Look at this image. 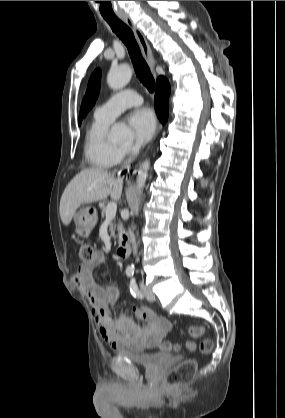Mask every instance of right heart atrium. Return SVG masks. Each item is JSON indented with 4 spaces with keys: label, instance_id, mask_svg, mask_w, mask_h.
I'll return each mask as SVG.
<instances>
[{
    "label": "right heart atrium",
    "instance_id": "right-heart-atrium-1",
    "mask_svg": "<svg viewBox=\"0 0 285 418\" xmlns=\"http://www.w3.org/2000/svg\"><path fill=\"white\" fill-rule=\"evenodd\" d=\"M118 152H119V160H121L125 157L132 155L134 152V148L133 147H119Z\"/></svg>",
    "mask_w": 285,
    "mask_h": 418
}]
</instances>
